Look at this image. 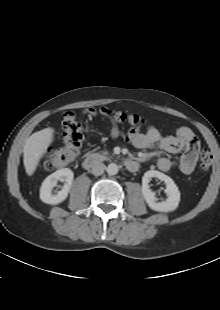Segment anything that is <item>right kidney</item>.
Wrapping results in <instances>:
<instances>
[{
  "mask_svg": "<svg viewBox=\"0 0 220 310\" xmlns=\"http://www.w3.org/2000/svg\"><path fill=\"white\" fill-rule=\"evenodd\" d=\"M73 178L74 173L69 168L59 169L47 176L40 187L41 201L51 205H57L63 202L70 192ZM58 180L62 182L64 181L65 183L60 191H58L56 194H52V190L57 186Z\"/></svg>",
  "mask_w": 220,
  "mask_h": 310,
  "instance_id": "1",
  "label": "right kidney"
}]
</instances>
